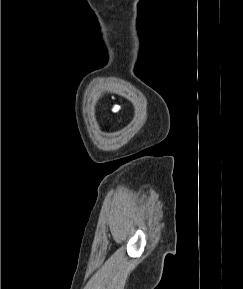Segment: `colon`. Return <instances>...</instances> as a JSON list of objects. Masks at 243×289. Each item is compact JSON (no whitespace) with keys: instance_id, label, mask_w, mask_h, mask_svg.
I'll return each instance as SVG.
<instances>
[{"instance_id":"obj_1","label":"colon","mask_w":243,"mask_h":289,"mask_svg":"<svg viewBox=\"0 0 243 289\" xmlns=\"http://www.w3.org/2000/svg\"><path fill=\"white\" fill-rule=\"evenodd\" d=\"M118 110H119V106L115 105V106L113 107V111H114V112H117Z\"/></svg>"}]
</instances>
